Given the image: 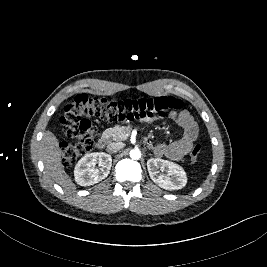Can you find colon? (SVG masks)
Wrapping results in <instances>:
<instances>
[{
    "label": "colon",
    "mask_w": 267,
    "mask_h": 267,
    "mask_svg": "<svg viewBox=\"0 0 267 267\" xmlns=\"http://www.w3.org/2000/svg\"><path fill=\"white\" fill-rule=\"evenodd\" d=\"M183 108V102L172 96L112 100L87 94L76 95L67 102L61 117L64 133L70 140L61 146L62 162L65 166H71L92 149L97 128L91 118L108 121L148 120L179 113ZM200 152L201 146L193 145L190 159L197 161Z\"/></svg>",
    "instance_id": "obj_1"
}]
</instances>
